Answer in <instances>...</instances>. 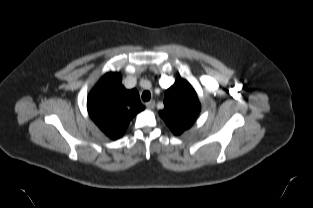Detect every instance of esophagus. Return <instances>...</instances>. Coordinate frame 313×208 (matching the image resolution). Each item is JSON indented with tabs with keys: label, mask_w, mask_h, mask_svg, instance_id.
<instances>
[{
	"label": "esophagus",
	"mask_w": 313,
	"mask_h": 208,
	"mask_svg": "<svg viewBox=\"0 0 313 208\" xmlns=\"http://www.w3.org/2000/svg\"><path fill=\"white\" fill-rule=\"evenodd\" d=\"M145 105L148 109H153L155 107V101L151 100V101L147 102Z\"/></svg>",
	"instance_id": "esophagus-1"
}]
</instances>
